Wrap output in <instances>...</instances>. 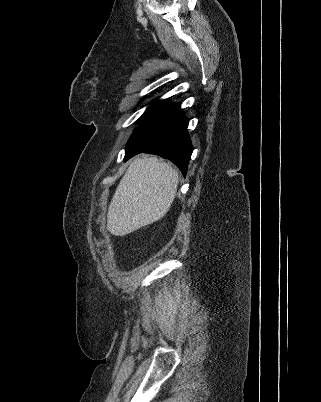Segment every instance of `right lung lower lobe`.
<instances>
[{
  "mask_svg": "<svg viewBox=\"0 0 321 402\" xmlns=\"http://www.w3.org/2000/svg\"><path fill=\"white\" fill-rule=\"evenodd\" d=\"M187 127L180 104L162 102L143 117L129 138L125 160L142 152L156 154L176 164L185 176L193 151Z\"/></svg>",
  "mask_w": 321,
  "mask_h": 402,
  "instance_id": "98d812e1",
  "label": "right lung lower lobe"
}]
</instances>
